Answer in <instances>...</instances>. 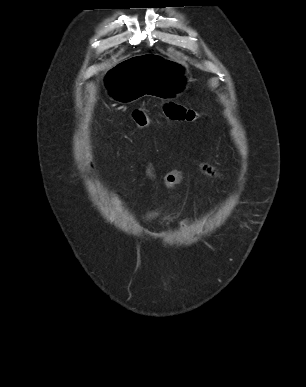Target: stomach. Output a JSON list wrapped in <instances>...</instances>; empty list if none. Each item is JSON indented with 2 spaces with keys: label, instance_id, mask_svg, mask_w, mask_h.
Wrapping results in <instances>:
<instances>
[{
  "label": "stomach",
  "instance_id": "1",
  "mask_svg": "<svg viewBox=\"0 0 306 387\" xmlns=\"http://www.w3.org/2000/svg\"><path fill=\"white\" fill-rule=\"evenodd\" d=\"M157 50L156 46H141L140 55H132L113 70L103 71L112 100L131 103L139 95H150L151 99L180 95L187 83L183 65L154 55Z\"/></svg>",
  "mask_w": 306,
  "mask_h": 387
}]
</instances>
